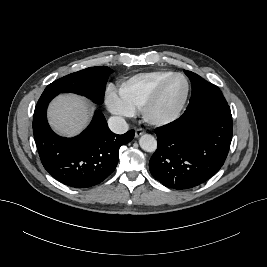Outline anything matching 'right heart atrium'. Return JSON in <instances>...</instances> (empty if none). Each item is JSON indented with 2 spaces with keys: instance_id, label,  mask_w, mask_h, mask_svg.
<instances>
[{
  "instance_id": "1",
  "label": "right heart atrium",
  "mask_w": 267,
  "mask_h": 267,
  "mask_svg": "<svg viewBox=\"0 0 267 267\" xmlns=\"http://www.w3.org/2000/svg\"><path fill=\"white\" fill-rule=\"evenodd\" d=\"M105 104L108 110L118 117H129L133 111L121 100L116 91L110 87L105 94Z\"/></svg>"
}]
</instances>
